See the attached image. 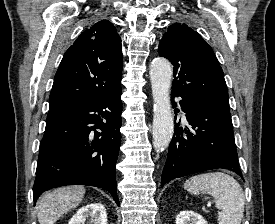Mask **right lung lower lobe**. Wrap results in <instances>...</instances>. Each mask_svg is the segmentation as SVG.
I'll use <instances>...</instances> for the list:
<instances>
[{"instance_id": "98d812e1", "label": "right lung lower lobe", "mask_w": 275, "mask_h": 224, "mask_svg": "<svg viewBox=\"0 0 275 224\" xmlns=\"http://www.w3.org/2000/svg\"><path fill=\"white\" fill-rule=\"evenodd\" d=\"M121 88L78 105L51 109L40 142L34 204L46 190L90 185L107 190L119 206L115 165L119 153Z\"/></svg>"}]
</instances>
